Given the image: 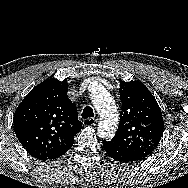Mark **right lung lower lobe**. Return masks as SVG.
I'll return each mask as SVG.
<instances>
[{
	"label": "right lung lower lobe",
	"mask_w": 188,
	"mask_h": 188,
	"mask_svg": "<svg viewBox=\"0 0 188 188\" xmlns=\"http://www.w3.org/2000/svg\"><path fill=\"white\" fill-rule=\"evenodd\" d=\"M67 151H68V150H67ZM67 151H64V152H62V153L55 154V155H53V156H51V157H49V158H46V159H54V158H57V157L63 155L64 153H66ZM46 159H44V160H46Z\"/></svg>",
	"instance_id": "1"
}]
</instances>
